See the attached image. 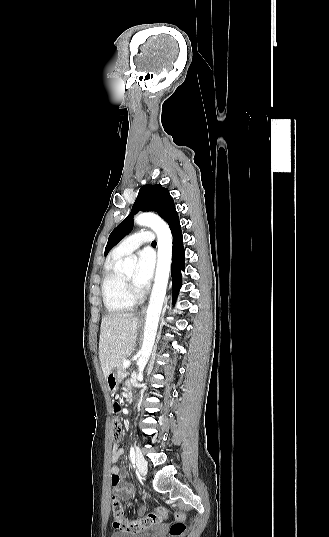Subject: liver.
Here are the masks:
<instances>
[{
	"label": "liver",
	"instance_id": "1",
	"mask_svg": "<svg viewBox=\"0 0 329 537\" xmlns=\"http://www.w3.org/2000/svg\"><path fill=\"white\" fill-rule=\"evenodd\" d=\"M139 319L132 314L114 313L101 321L99 359L105 378L135 346Z\"/></svg>",
	"mask_w": 329,
	"mask_h": 537
}]
</instances>
